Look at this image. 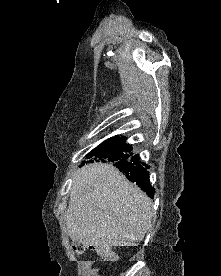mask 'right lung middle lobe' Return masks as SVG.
Returning a JSON list of instances; mask_svg holds the SVG:
<instances>
[{
    "instance_id": "right-lung-middle-lobe-1",
    "label": "right lung middle lobe",
    "mask_w": 221,
    "mask_h": 276,
    "mask_svg": "<svg viewBox=\"0 0 221 276\" xmlns=\"http://www.w3.org/2000/svg\"><path fill=\"white\" fill-rule=\"evenodd\" d=\"M132 147L130 144L126 143L125 137L119 138L118 135L111 137L100 145H98L95 149L89 153L86 158L88 161H84L82 165L85 163H93V161L97 162H116L121 159H127L132 154Z\"/></svg>"
}]
</instances>
